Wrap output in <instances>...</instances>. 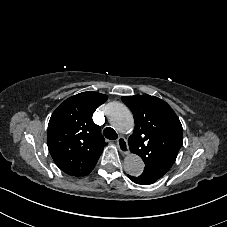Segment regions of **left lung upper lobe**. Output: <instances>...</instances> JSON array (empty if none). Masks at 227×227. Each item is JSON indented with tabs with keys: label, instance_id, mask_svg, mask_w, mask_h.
<instances>
[{
	"label": "left lung upper lobe",
	"instance_id": "1",
	"mask_svg": "<svg viewBox=\"0 0 227 227\" xmlns=\"http://www.w3.org/2000/svg\"><path fill=\"white\" fill-rule=\"evenodd\" d=\"M133 113L135 128L128 139L130 151L145 163L143 173L157 179L164 176L176 160L183 143L182 125L171 107L150 95L123 96Z\"/></svg>",
	"mask_w": 227,
	"mask_h": 227
}]
</instances>
